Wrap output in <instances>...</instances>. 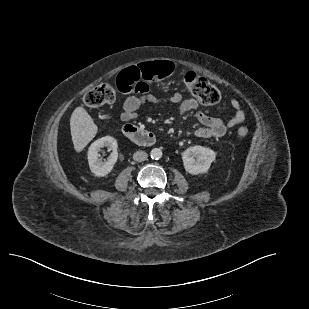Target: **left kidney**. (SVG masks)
<instances>
[{"instance_id": "5707ae66", "label": "left kidney", "mask_w": 309, "mask_h": 309, "mask_svg": "<svg viewBox=\"0 0 309 309\" xmlns=\"http://www.w3.org/2000/svg\"><path fill=\"white\" fill-rule=\"evenodd\" d=\"M215 158L212 149L199 145L189 147L182 153L184 168L192 175L206 173Z\"/></svg>"}]
</instances>
